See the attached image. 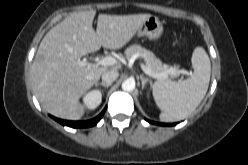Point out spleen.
Wrapping results in <instances>:
<instances>
[{
    "instance_id": "1",
    "label": "spleen",
    "mask_w": 248,
    "mask_h": 165,
    "mask_svg": "<svg viewBox=\"0 0 248 165\" xmlns=\"http://www.w3.org/2000/svg\"><path fill=\"white\" fill-rule=\"evenodd\" d=\"M193 75L183 81L160 79L152 85L162 122H175L188 117L201 103L208 90L211 63L205 49L196 47L191 58Z\"/></svg>"
}]
</instances>
